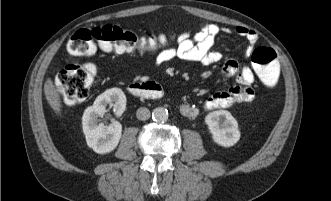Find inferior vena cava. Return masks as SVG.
Masks as SVG:
<instances>
[{
  "label": "inferior vena cava",
  "instance_id": "obj_1",
  "mask_svg": "<svg viewBox=\"0 0 331 201\" xmlns=\"http://www.w3.org/2000/svg\"><path fill=\"white\" fill-rule=\"evenodd\" d=\"M136 116L139 120L145 121L148 120L151 116L149 109L141 107L137 110Z\"/></svg>",
  "mask_w": 331,
  "mask_h": 201
}]
</instances>
